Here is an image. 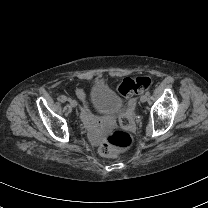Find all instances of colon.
Instances as JSON below:
<instances>
[{"label":"colon","instance_id":"colon-1","mask_svg":"<svg viewBox=\"0 0 208 208\" xmlns=\"http://www.w3.org/2000/svg\"><path fill=\"white\" fill-rule=\"evenodd\" d=\"M151 86V79L147 76L124 78L116 87L117 93L122 97H130L138 92L144 91ZM123 126L112 127L107 136L99 143V152L110 159H115L119 155L126 154L136 143L132 132L135 129L127 116L120 119Z\"/></svg>","mask_w":208,"mask_h":208}]
</instances>
